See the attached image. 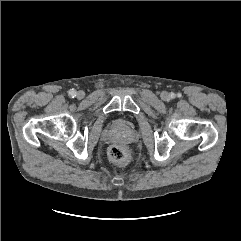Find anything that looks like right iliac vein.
I'll list each match as a JSON object with an SVG mask.
<instances>
[{
	"label": "right iliac vein",
	"mask_w": 241,
	"mask_h": 241,
	"mask_svg": "<svg viewBox=\"0 0 241 241\" xmlns=\"http://www.w3.org/2000/svg\"><path fill=\"white\" fill-rule=\"evenodd\" d=\"M84 92L83 91H79L78 93H77V97L79 98V99H82L83 97H84Z\"/></svg>",
	"instance_id": "63e3f726"
}]
</instances>
